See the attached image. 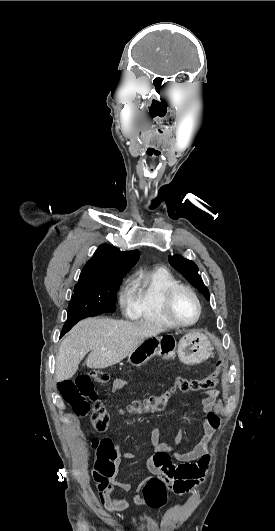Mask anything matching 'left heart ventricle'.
<instances>
[{
    "label": "left heart ventricle",
    "mask_w": 275,
    "mask_h": 531,
    "mask_svg": "<svg viewBox=\"0 0 275 531\" xmlns=\"http://www.w3.org/2000/svg\"><path fill=\"white\" fill-rule=\"evenodd\" d=\"M172 311L181 322H191L197 315V305L190 294L178 291L172 299Z\"/></svg>",
    "instance_id": "obj_1"
}]
</instances>
